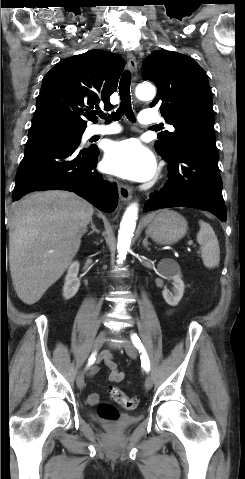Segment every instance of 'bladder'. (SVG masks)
I'll return each mask as SVG.
<instances>
[{
    "mask_svg": "<svg viewBox=\"0 0 245 479\" xmlns=\"http://www.w3.org/2000/svg\"><path fill=\"white\" fill-rule=\"evenodd\" d=\"M135 422V419L127 417L124 422L120 423H106L102 422L101 425L107 429L119 431L127 428L129 425Z\"/></svg>",
    "mask_w": 245,
    "mask_h": 479,
    "instance_id": "31cf9c89",
    "label": "bladder"
}]
</instances>
